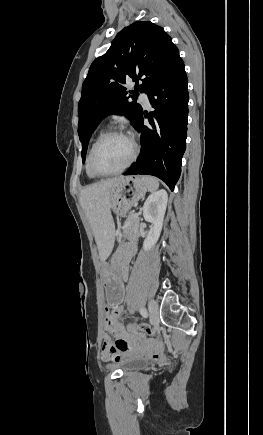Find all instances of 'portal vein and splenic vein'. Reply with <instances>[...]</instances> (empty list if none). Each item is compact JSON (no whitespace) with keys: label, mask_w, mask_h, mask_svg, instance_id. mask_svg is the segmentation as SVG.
Listing matches in <instances>:
<instances>
[{"label":"portal vein and splenic vein","mask_w":263,"mask_h":435,"mask_svg":"<svg viewBox=\"0 0 263 435\" xmlns=\"http://www.w3.org/2000/svg\"><path fill=\"white\" fill-rule=\"evenodd\" d=\"M134 216H138V214H134Z\"/></svg>","instance_id":"portal-vein-and-splenic-vein-1"}]
</instances>
